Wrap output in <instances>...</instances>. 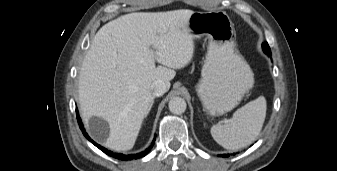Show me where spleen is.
Masks as SVG:
<instances>
[{
    "mask_svg": "<svg viewBox=\"0 0 337 171\" xmlns=\"http://www.w3.org/2000/svg\"><path fill=\"white\" fill-rule=\"evenodd\" d=\"M266 99L259 96L237 109L224 124L211 127L213 139L225 149L238 150L258 137L266 117Z\"/></svg>",
    "mask_w": 337,
    "mask_h": 171,
    "instance_id": "3e777b00",
    "label": "spleen"
}]
</instances>
